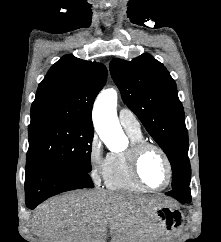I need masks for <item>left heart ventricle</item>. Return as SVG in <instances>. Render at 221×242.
I'll use <instances>...</instances> for the list:
<instances>
[{"mask_svg": "<svg viewBox=\"0 0 221 242\" xmlns=\"http://www.w3.org/2000/svg\"><path fill=\"white\" fill-rule=\"evenodd\" d=\"M140 172L144 181L151 187L159 188L167 180V167L161 154L154 150H148L142 158Z\"/></svg>", "mask_w": 221, "mask_h": 242, "instance_id": "obj_1", "label": "left heart ventricle"}]
</instances>
